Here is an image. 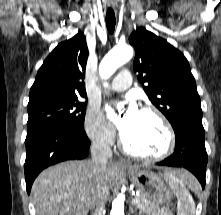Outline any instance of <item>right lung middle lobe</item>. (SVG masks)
I'll return each mask as SVG.
<instances>
[{
    "instance_id": "1",
    "label": "right lung middle lobe",
    "mask_w": 221,
    "mask_h": 215,
    "mask_svg": "<svg viewBox=\"0 0 221 215\" xmlns=\"http://www.w3.org/2000/svg\"><path fill=\"white\" fill-rule=\"evenodd\" d=\"M85 112L86 103L78 99L52 100L28 105L27 134L54 126L83 129Z\"/></svg>"
}]
</instances>
